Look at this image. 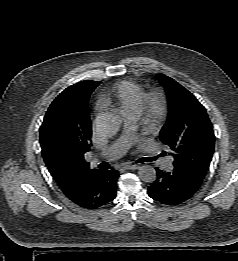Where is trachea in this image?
<instances>
[{"instance_id":"1","label":"trachea","mask_w":238,"mask_h":261,"mask_svg":"<svg viewBox=\"0 0 238 261\" xmlns=\"http://www.w3.org/2000/svg\"><path fill=\"white\" fill-rule=\"evenodd\" d=\"M153 160H154V158H145L144 161H142V162H150V161H153ZM104 165H106L105 162H104V163H101V164H100V167L104 168Z\"/></svg>"}]
</instances>
